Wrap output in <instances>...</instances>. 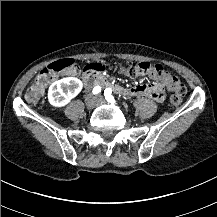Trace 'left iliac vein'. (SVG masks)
<instances>
[{"label": "left iliac vein", "mask_w": 217, "mask_h": 217, "mask_svg": "<svg viewBox=\"0 0 217 217\" xmlns=\"http://www.w3.org/2000/svg\"><path fill=\"white\" fill-rule=\"evenodd\" d=\"M101 101H102V100L99 98V99H98V102H101Z\"/></svg>", "instance_id": "obj_1"}]
</instances>
